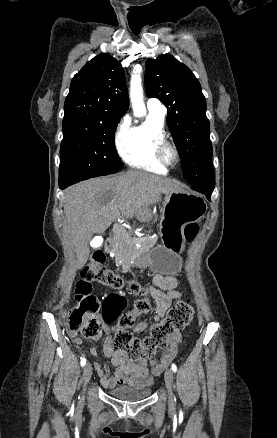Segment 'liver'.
<instances>
[{
	"label": "liver",
	"instance_id": "obj_1",
	"mask_svg": "<svg viewBox=\"0 0 277 438\" xmlns=\"http://www.w3.org/2000/svg\"><path fill=\"white\" fill-rule=\"evenodd\" d=\"M161 192L172 194L175 188L161 176L139 170H128L117 178H93L70 186L64 212L79 270L89 258L93 234H103L117 220L118 208L125 218H134L142 208L158 204Z\"/></svg>",
	"mask_w": 277,
	"mask_h": 438
}]
</instances>
